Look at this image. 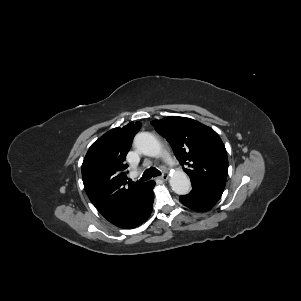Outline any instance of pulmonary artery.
I'll use <instances>...</instances> for the list:
<instances>
[{
  "mask_svg": "<svg viewBox=\"0 0 301 301\" xmlns=\"http://www.w3.org/2000/svg\"><path fill=\"white\" fill-rule=\"evenodd\" d=\"M168 162L171 166L175 165V162L172 160V158L170 156H168Z\"/></svg>",
  "mask_w": 301,
  "mask_h": 301,
  "instance_id": "obj_1",
  "label": "pulmonary artery"
}]
</instances>
